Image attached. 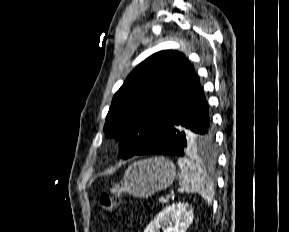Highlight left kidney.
I'll return each mask as SVG.
<instances>
[{
  "instance_id": "1",
  "label": "left kidney",
  "mask_w": 289,
  "mask_h": 232,
  "mask_svg": "<svg viewBox=\"0 0 289 232\" xmlns=\"http://www.w3.org/2000/svg\"><path fill=\"white\" fill-rule=\"evenodd\" d=\"M193 218V209L188 203H174L159 212L144 232H159L160 228L163 232H186Z\"/></svg>"
}]
</instances>
